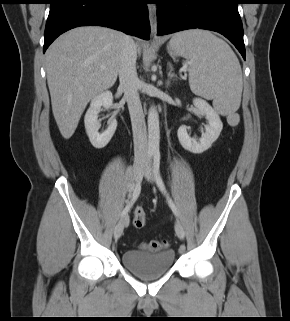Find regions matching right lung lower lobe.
<instances>
[{
	"label": "right lung lower lobe",
	"mask_w": 290,
	"mask_h": 321,
	"mask_svg": "<svg viewBox=\"0 0 290 321\" xmlns=\"http://www.w3.org/2000/svg\"><path fill=\"white\" fill-rule=\"evenodd\" d=\"M147 0H51L43 52L65 31L105 26L149 39Z\"/></svg>",
	"instance_id": "obj_1"
}]
</instances>
